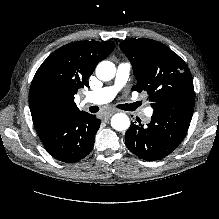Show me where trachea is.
Instances as JSON below:
<instances>
[{"mask_svg": "<svg viewBox=\"0 0 219 219\" xmlns=\"http://www.w3.org/2000/svg\"><path fill=\"white\" fill-rule=\"evenodd\" d=\"M89 111L92 113L98 112L99 111V107L98 106H91L89 108Z\"/></svg>", "mask_w": 219, "mask_h": 219, "instance_id": "3493384b", "label": "trachea"}]
</instances>
